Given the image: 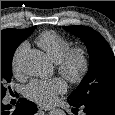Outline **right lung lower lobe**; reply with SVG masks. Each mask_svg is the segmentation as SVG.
<instances>
[{"mask_svg":"<svg viewBox=\"0 0 115 115\" xmlns=\"http://www.w3.org/2000/svg\"><path fill=\"white\" fill-rule=\"evenodd\" d=\"M1 98V115H33L37 112L35 103L27 99L20 98L15 110L11 109L10 105H4Z\"/></svg>","mask_w":115,"mask_h":115,"instance_id":"obj_1","label":"right lung lower lobe"}]
</instances>
